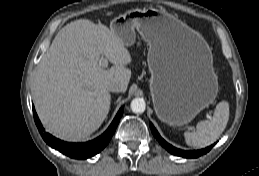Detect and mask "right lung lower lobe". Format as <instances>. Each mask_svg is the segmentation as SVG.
<instances>
[{
	"label": "right lung lower lobe",
	"mask_w": 259,
	"mask_h": 176,
	"mask_svg": "<svg viewBox=\"0 0 259 176\" xmlns=\"http://www.w3.org/2000/svg\"><path fill=\"white\" fill-rule=\"evenodd\" d=\"M32 108L36 126L45 142L52 148L75 159H86L99 153L110 141L123 114V108H120L109 128L98 138L85 143H68L61 141L48 133H44V128L42 127L35 109L34 107Z\"/></svg>",
	"instance_id": "right-lung-lower-lobe-1"
}]
</instances>
